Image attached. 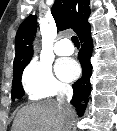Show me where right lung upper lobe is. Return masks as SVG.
I'll list each match as a JSON object with an SVG mask.
<instances>
[{"mask_svg":"<svg viewBox=\"0 0 117 131\" xmlns=\"http://www.w3.org/2000/svg\"><path fill=\"white\" fill-rule=\"evenodd\" d=\"M89 0H55L52 15L59 30L72 28L80 37L90 32ZM36 16H28L20 25L15 39L14 71L26 66L32 58V40L37 29Z\"/></svg>","mask_w":117,"mask_h":131,"instance_id":"obj_1","label":"right lung upper lobe"}]
</instances>
